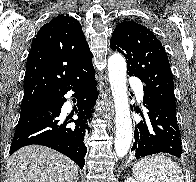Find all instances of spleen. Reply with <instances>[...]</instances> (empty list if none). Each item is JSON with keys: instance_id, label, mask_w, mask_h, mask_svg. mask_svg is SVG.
<instances>
[{"instance_id": "obj_1", "label": "spleen", "mask_w": 196, "mask_h": 182, "mask_svg": "<svg viewBox=\"0 0 196 182\" xmlns=\"http://www.w3.org/2000/svg\"><path fill=\"white\" fill-rule=\"evenodd\" d=\"M133 175L139 182H184L180 166L164 155L141 159L134 164Z\"/></svg>"}]
</instances>
